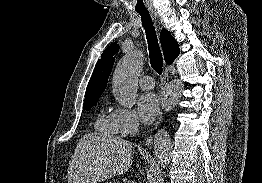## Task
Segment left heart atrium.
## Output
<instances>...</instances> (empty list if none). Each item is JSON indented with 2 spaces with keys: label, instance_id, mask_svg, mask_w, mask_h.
Instances as JSON below:
<instances>
[{
  "label": "left heart atrium",
  "instance_id": "39dd6f15",
  "mask_svg": "<svg viewBox=\"0 0 262 183\" xmlns=\"http://www.w3.org/2000/svg\"><path fill=\"white\" fill-rule=\"evenodd\" d=\"M141 119L145 123L153 122L159 113V100L154 93L143 94L138 100Z\"/></svg>",
  "mask_w": 262,
  "mask_h": 183
}]
</instances>
